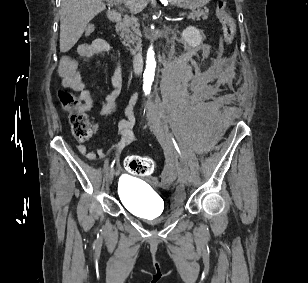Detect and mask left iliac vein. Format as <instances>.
I'll return each mask as SVG.
<instances>
[{"mask_svg":"<svg viewBox=\"0 0 308 283\" xmlns=\"http://www.w3.org/2000/svg\"><path fill=\"white\" fill-rule=\"evenodd\" d=\"M154 131H156V130L154 129ZM181 179L187 185L192 182V175L187 168L183 169V171L181 173Z\"/></svg>","mask_w":308,"mask_h":283,"instance_id":"left-iliac-vein-1","label":"left iliac vein"}]
</instances>
